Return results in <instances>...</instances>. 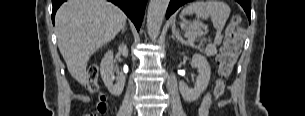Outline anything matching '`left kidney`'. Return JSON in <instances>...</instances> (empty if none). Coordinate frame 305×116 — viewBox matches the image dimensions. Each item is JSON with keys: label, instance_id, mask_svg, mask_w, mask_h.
I'll return each mask as SVG.
<instances>
[{"label": "left kidney", "instance_id": "1", "mask_svg": "<svg viewBox=\"0 0 305 116\" xmlns=\"http://www.w3.org/2000/svg\"><path fill=\"white\" fill-rule=\"evenodd\" d=\"M191 65L198 69L195 86L190 89L183 81L179 82V90L183 99L189 103L195 102L205 91L209 84L211 69L205 56L194 54Z\"/></svg>", "mask_w": 305, "mask_h": 116}]
</instances>
